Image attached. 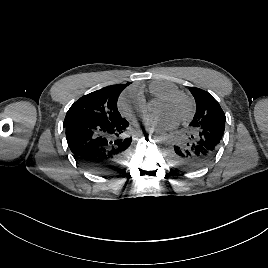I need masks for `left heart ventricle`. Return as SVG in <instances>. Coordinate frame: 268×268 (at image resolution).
Returning <instances> with one entry per match:
<instances>
[{"label":"left heart ventricle","mask_w":268,"mask_h":268,"mask_svg":"<svg viewBox=\"0 0 268 268\" xmlns=\"http://www.w3.org/2000/svg\"><path fill=\"white\" fill-rule=\"evenodd\" d=\"M188 110V104L182 98H177L172 101L163 102L158 101L155 104V112L167 114L178 121L182 118Z\"/></svg>","instance_id":"left-heart-ventricle-1"}]
</instances>
